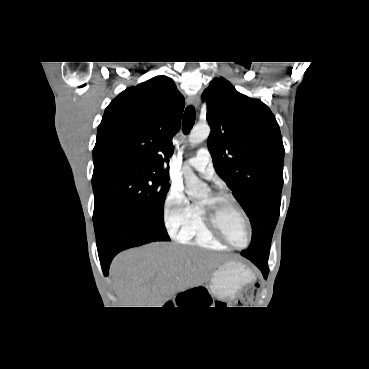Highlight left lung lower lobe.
Segmentation results:
<instances>
[{
	"label": "left lung lower lobe",
	"instance_id": "1",
	"mask_svg": "<svg viewBox=\"0 0 369 369\" xmlns=\"http://www.w3.org/2000/svg\"><path fill=\"white\" fill-rule=\"evenodd\" d=\"M250 261H252L261 270L264 278L266 279L268 272H269L267 262L263 260H256V259H251Z\"/></svg>",
	"mask_w": 369,
	"mask_h": 369
}]
</instances>
